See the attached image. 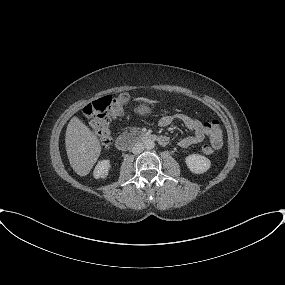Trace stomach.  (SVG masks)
Instances as JSON below:
<instances>
[{
	"mask_svg": "<svg viewBox=\"0 0 285 285\" xmlns=\"http://www.w3.org/2000/svg\"><path fill=\"white\" fill-rule=\"evenodd\" d=\"M139 111L142 112V113H145V112H148L149 109H148L147 107H145V106H142V107L139 109Z\"/></svg>",
	"mask_w": 285,
	"mask_h": 285,
	"instance_id": "0dacf381",
	"label": "stomach"
}]
</instances>
